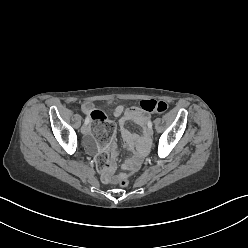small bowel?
Instances as JSON below:
<instances>
[{
  "instance_id": "obj_1",
  "label": "small bowel",
  "mask_w": 248,
  "mask_h": 248,
  "mask_svg": "<svg viewBox=\"0 0 248 248\" xmlns=\"http://www.w3.org/2000/svg\"><path fill=\"white\" fill-rule=\"evenodd\" d=\"M93 110L94 105L92 103H85L82 106L83 113L87 114L88 117H90V113ZM113 115L119 118L118 123L122 139L125 142L127 150L132 153V157L123 162L121 168L131 172L136 171L139 169L146 151V139L143 136L132 133L127 128V124L133 122L141 128L146 129V126L150 121V116L137 106L124 108L121 105H118L113 109ZM86 146L92 151L96 149L94 146V138L90 134L86 138ZM107 148L111 154V159L107 171L103 173V178L105 182H111V174L116 169L117 150L114 144H109Z\"/></svg>"
}]
</instances>
